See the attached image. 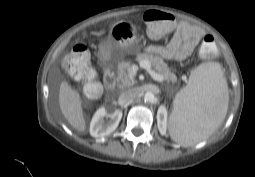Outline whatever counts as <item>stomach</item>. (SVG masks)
Wrapping results in <instances>:
<instances>
[{
  "label": "stomach",
  "mask_w": 255,
  "mask_h": 177,
  "mask_svg": "<svg viewBox=\"0 0 255 177\" xmlns=\"http://www.w3.org/2000/svg\"><path fill=\"white\" fill-rule=\"evenodd\" d=\"M140 49L137 28L131 22L121 20L114 23L109 35L101 45V54L114 59L136 54Z\"/></svg>",
  "instance_id": "0dacf381"
}]
</instances>
